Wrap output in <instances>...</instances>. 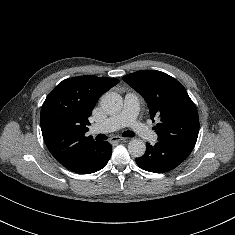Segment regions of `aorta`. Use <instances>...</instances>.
<instances>
[{
    "mask_svg": "<svg viewBox=\"0 0 235 235\" xmlns=\"http://www.w3.org/2000/svg\"><path fill=\"white\" fill-rule=\"evenodd\" d=\"M101 108L110 115L117 114L123 106L122 97L115 92H107L101 97ZM128 151L133 157H142L146 151L145 143L140 139H132L128 143Z\"/></svg>",
    "mask_w": 235,
    "mask_h": 235,
    "instance_id": "762f6f07",
    "label": "aorta"
}]
</instances>
